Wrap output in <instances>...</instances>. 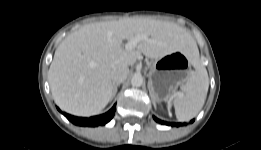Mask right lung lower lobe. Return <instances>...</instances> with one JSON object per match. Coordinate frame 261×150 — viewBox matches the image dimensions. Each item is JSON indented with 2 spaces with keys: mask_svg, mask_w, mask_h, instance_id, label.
Segmentation results:
<instances>
[{
  "mask_svg": "<svg viewBox=\"0 0 261 150\" xmlns=\"http://www.w3.org/2000/svg\"><path fill=\"white\" fill-rule=\"evenodd\" d=\"M114 113L115 106H113L111 110H109L107 113L103 115L94 116L90 118L75 117L66 113H64V115L67 117L68 120H70L72 123L76 125L95 127L98 125H105L106 123H108L113 118Z\"/></svg>",
  "mask_w": 261,
  "mask_h": 150,
  "instance_id": "1",
  "label": "right lung lower lobe"
}]
</instances>
